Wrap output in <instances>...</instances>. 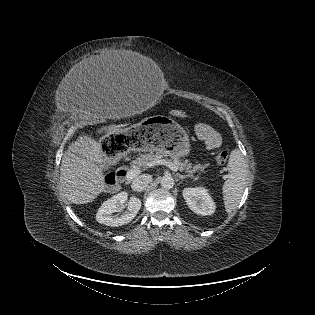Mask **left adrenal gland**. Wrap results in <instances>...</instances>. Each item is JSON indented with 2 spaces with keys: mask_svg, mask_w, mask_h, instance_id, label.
<instances>
[{
  "mask_svg": "<svg viewBox=\"0 0 315 315\" xmlns=\"http://www.w3.org/2000/svg\"><path fill=\"white\" fill-rule=\"evenodd\" d=\"M177 177H178V179H184V178H188V177H191V176L190 175H181V174L177 173Z\"/></svg>",
  "mask_w": 315,
  "mask_h": 315,
  "instance_id": "1",
  "label": "left adrenal gland"
}]
</instances>
